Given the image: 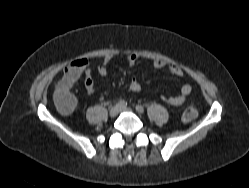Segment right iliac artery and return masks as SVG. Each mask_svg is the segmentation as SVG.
<instances>
[{
  "label": "right iliac artery",
  "mask_w": 249,
  "mask_h": 188,
  "mask_svg": "<svg viewBox=\"0 0 249 188\" xmlns=\"http://www.w3.org/2000/svg\"><path fill=\"white\" fill-rule=\"evenodd\" d=\"M117 106L118 107H126L127 102L125 100H120V101L117 102Z\"/></svg>",
  "instance_id": "82829eb1"
}]
</instances>
